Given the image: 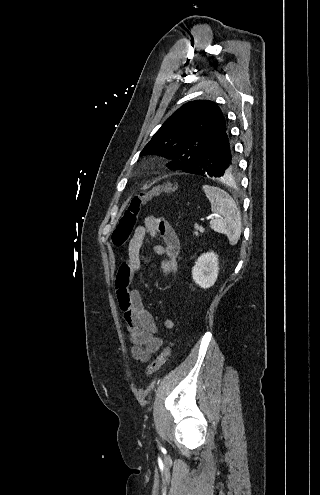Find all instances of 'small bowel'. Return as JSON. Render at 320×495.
Instances as JSON below:
<instances>
[{
    "instance_id": "small-bowel-1",
    "label": "small bowel",
    "mask_w": 320,
    "mask_h": 495,
    "mask_svg": "<svg viewBox=\"0 0 320 495\" xmlns=\"http://www.w3.org/2000/svg\"><path fill=\"white\" fill-rule=\"evenodd\" d=\"M146 238L162 241V244L154 246V251L164 257L160 265L164 274H174L177 271L180 250V241L174 228L164 218L148 215L135 228L128 245V258L119 268L117 296L131 343L132 357L140 362L148 361L163 343L155 319L144 307L140 292L127 287L132 277L141 271L140 251ZM163 324L169 330L175 327V322L170 318L165 319Z\"/></svg>"
}]
</instances>
